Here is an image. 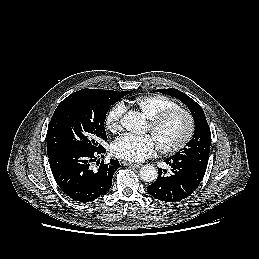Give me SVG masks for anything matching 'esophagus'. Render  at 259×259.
<instances>
[{
	"label": "esophagus",
	"instance_id": "34e87169",
	"mask_svg": "<svg viewBox=\"0 0 259 259\" xmlns=\"http://www.w3.org/2000/svg\"><path fill=\"white\" fill-rule=\"evenodd\" d=\"M123 164L134 168H140L142 166V164H136V163H130V162H123Z\"/></svg>",
	"mask_w": 259,
	"mask_h": 259
}]
</instances>
